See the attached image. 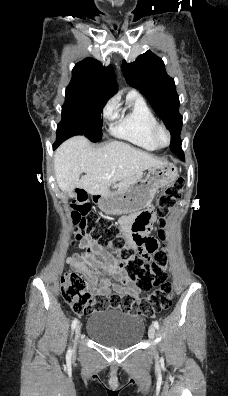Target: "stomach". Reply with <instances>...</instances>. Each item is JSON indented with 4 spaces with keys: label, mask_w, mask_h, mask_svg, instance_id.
I'll return each mask as SVG.
<instances>
[{
    "label": "stomach",
    "mask_w": 228,
    "mask_h": 396,
    "mask_svg": "<svg viewBox=\"0 0 228 396\" xmlns=\"http://www.w3.org/2000/svg\"><path fill=\"white\" fill-rule=\"evenodd\" d=\"M177 176L178 171L173 164L152 167L143 179L125 190L94 195L97 198L95 202L107 214L136 212L149 207L158 189L172 183Z\"/></svg>",
    "instance_id": "stomach-1"
}]
</instances>
